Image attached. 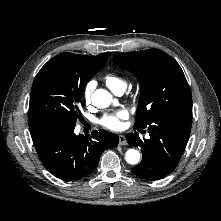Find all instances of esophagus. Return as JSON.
<instances>
[{
    "label": "esophagus",
    "mask_w": 221,
    "mask_h": 221,
    "mask_svg": "<svg viewBox=\"0 0 221 221\" xmlns=\"http://www.w3.org/2000/svg\"><path fill=\"white\" fill-rule=\"evenodd\" d=\"M119 144L120 145H126L127 141L124 135H119Z\"/></svg>",
    "instance_id": "1"
}]
</instances>
